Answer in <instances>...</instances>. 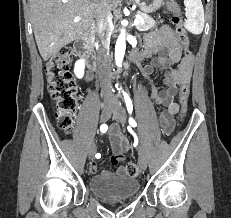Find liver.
I'll return each mask as SVG.
<instances>
[{
  "instance_id": "obj_1",
  "label": "liver",
  "mask_w": 231,
  "mask_h": 218,
  "mask_svg": "<svg viewBox=\"0 0 231 218\" xmlns=\"http://www.w3.org/2000/svg\"><path fill=\"white\" fill-rule=\"evenodd\" d=\"M102 0H29L30 18L38 50L47 61L62 47L84 38L95 28ZM114 10L121 0H105ZM80 20L75 22L74 19Z\"/></svg>"
}]
</instances>
